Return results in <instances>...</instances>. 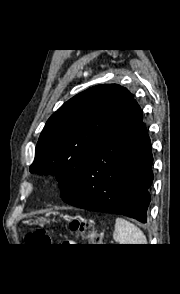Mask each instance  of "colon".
<instances>
[{"label": "colon", "instance_id": "5ec220e1", "mask_svg": "<svg viewBox=\"0 0 180 294\" xmlns=\"http://www.w3.org/2000/svg\"><path fill=\"white\" fill-rule=\"evenodd\" d=\"M70 227L91 245L100 246L102 244L101 234L92 223L74 220L70 222ZM25 240L28 244H49L51 236L45 229H37L28 233Z\"/></svg>", "mask_w": 180, "mask_h": 294}]
</instances>
